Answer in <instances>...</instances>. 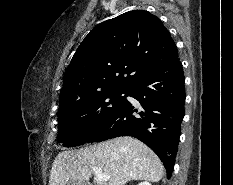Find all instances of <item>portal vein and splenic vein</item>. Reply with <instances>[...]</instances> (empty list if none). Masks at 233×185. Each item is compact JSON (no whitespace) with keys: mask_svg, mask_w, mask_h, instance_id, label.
Segmentation results:
<instances>
[{"mask_svg":"<svg viewBox=\"0 0 233 185\" xmlns=\"http://www.w3.org/2000/svg\"><path fill=\"white\" fill-rule=\"evenodd\" d=\"M90 168L93 170L96 179L100 182H106L109 180L110 176L108 174H105L102 172V169L97 166H90Z\"/></svg>","mask_w":233,"mask_h":185,"instance_id":"obj_1","label":"portal vein and splenic vein"}]
</instances>
